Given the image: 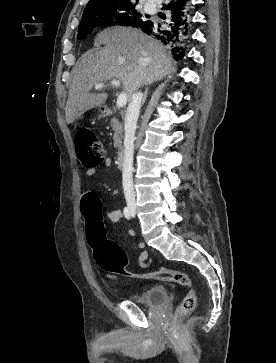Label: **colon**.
I'll return each mask as SVG.
<instances>
[{
    "mask_svg": "<svg viewBox=\"0 0 276 363\" xmlns=\"http://www.w3.org/2000/svg\"><path fill=\"white\" fill-rule=\"evenodd\" d=\"M76 151L84 166H96L104 159L102 143L88 128H81L77 131ZM87 222L88 243L93 248V258L98 266L110 273H126L124 268L128 264L127 255L117 243L105 238V228L100 222L97 211L88 213ZM158 273L186 289L173 320V324L176 325L180 320L189 316L196 307L197 295L192 287V280L189 274L182 270L161 267Z\"/></svg>",
    "mask_w": 276,
    "mask_h": 363,
    "instance_id": "5ec220e1",
    "label": "colon"
}]
</instances>
